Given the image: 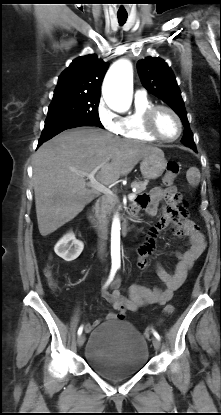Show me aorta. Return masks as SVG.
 <instances>
[{
  "label": "aorta",
  "mask_w": 221,
  "mask_h": 415,
  "mask_svg": "<svg viewBox=\"0 0 221 415\" xmlns=\"http://www.w3.org/2000/svg\"><path fill=\"white\" fill-rule=\"evenodd\" d=\"M106 104L113 110L125 112L129 110L133 98V68L130 61L121 59L108 70L102 88ZM120 219L116 215L111 227L112 264H120Z\"/></svg>",
  "instance_id": "obj_1"
}]
</instances>
